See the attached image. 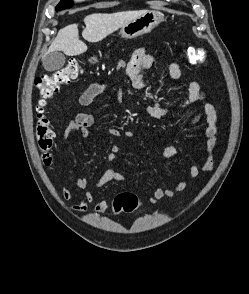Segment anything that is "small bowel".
Wrapping results in <instances>:
<instances>
[{"label":"small bowel","mask_w":249,"mask_h":294,"mask_svg":"<svg viewBox=\"0 0 249 294\" xmlns=\"http://www.w3.org/2000/svg\"><path fill=\"white\" fill-rule=\"evenodd\" d=\"M156 59V56L149 52L146 47L138 48L132 55L131 61L126 65L125 72L131 83V86L135 90L142 89L144 87V76L147 70L152 66ZM169 75L173 80H179L182 76V69L177 63H171L169 66ZM105 82L99 81L90 84L79 96V103L81 106H89L94 99L104 90ZM118 100L122 101L123 90L119 88L117 92ZM198 103L199 107L189 119L187 125H196L203 117L206 120L207 127L204 131V136L207 141V148L203 155V162L201 166L195 164L189 168V179L193 180L199 176L200 171L209 172L213 169L215 148L217 144L216 137V122L217 114L214 106L208 102L205 98V93L202 90L198 82L192 81L188 85L186 96L177 104L172 106H163L156 102L147 106L145 113L148 117L153 119H160L169 116L175 112H178L191 104ZM94 124V117L88 113H78L76 117L71 120L63 131V138L65 140L72 137L76 132H80L83 138L90 137V128ZM109 135L114 138L125 137L133 138L134 134L130 130L121 129L118 127H112L108 131ZM122 147L119 144H113L110 148L108 155V166L103 174L98 178L94 187L101 188L111 181L127 182V177L120 173L113 165V162L117 159ZM177 154V148L173 145L166 146L162 151V157L164 159H170ZM76 185L81 190H86L89 186V182L86 178H78ZM187 187V181L184 179L179 180L175 186L162 188H156L149 196V202L156 204L161 199L167 197L172 198L177 194L183 192ZM63 195L66 200H73L78 195L64 187ZM94 195L91 191H85L80 195V201L72 206L74 212H85L89 205L92 203ZM114 199H103L99 201L95 207L94 212L98 215L106 212L112 207Z\"/></svg>","instance_id":"c3829d8e"}]
</instances>
